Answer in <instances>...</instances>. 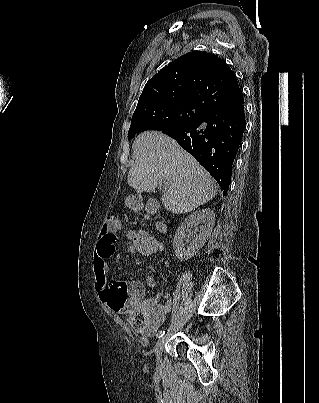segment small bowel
I'll use <instances>...</instances> for the list:
<instances>
[{"mask_svg": "<svg viewBox=\"0 0 319 403\" xmlns=\"http://www.w3.org/2000/svg\"><path fill=\"white\" fill-rule=\"evenodd\" d=\"M120 237L121 225L113 213H108L104 224L99 225V239L93 255L95 288L100 291L101 305L113 309L114 315L122 319V324H128L132 335L151 337L165 323L172 302L166 299L160 304L158 292L153 298H145L146 286L156 289V280L152 275L145 278V285H138L136 279H109L107 284V260L113 254H119Z\"/></svg>", "mask_w": 319, "mask_h": 403, "instance_id": "obj_1", "label": "small bowel"}]
</instances>
